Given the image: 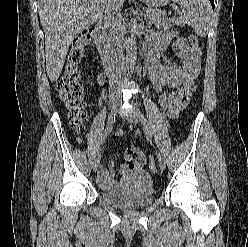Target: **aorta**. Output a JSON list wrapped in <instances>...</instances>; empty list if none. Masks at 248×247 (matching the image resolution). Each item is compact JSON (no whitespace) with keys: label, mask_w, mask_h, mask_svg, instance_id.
Returning <instances> with one entry per match:
<instances>
[{"label":"aorta","mask_w":248,"mask_h":247,"mask_svg":"<svg viewBox=\"0 0 248 247\" xmlns=\"http://www.w3.org/2000/svg\"><path fill=\"white\" fill-rule=\"evenodd\" d=\"M137 43L134 28H131L128 37L126 38V67L127 76L132 77L137 58Z\"/></svg>","instance_id":"aorta-1"}]
</instances>
